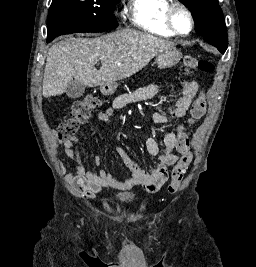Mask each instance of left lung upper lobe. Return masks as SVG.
Wrapping results in <instances>:
<instances>
[{"instance_id":"1","label":"left lung upper lobe","mask_w":256,"mask_h":267,"mask_svg":"<svg viewBox=\"0 0 256 267\" xmlns=\"http://www.w3.org/2000/svg\"><path fill=\"white\" fill-rule=\"evenodd\" d=\"M195 20L196 32L223 54L228 45L226 26L218 0H179Z\"/></svg>"}]
</instances>
